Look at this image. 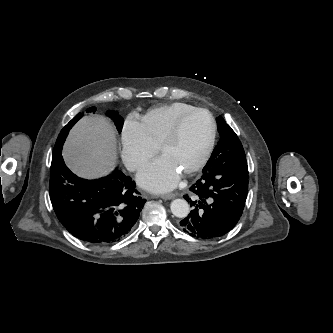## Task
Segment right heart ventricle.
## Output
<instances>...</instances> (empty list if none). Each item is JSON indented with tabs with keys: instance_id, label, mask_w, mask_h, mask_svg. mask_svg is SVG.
I'll list each match as a JSON object with an SVG mask.
<instances>
[{
	"instance_id": "obj_1",
	"label": "right heart ventricle",
	"mask_w": 333,
	"mask_h": 333,
	"mask_svg": "<svg viewBox=\"0 0 333 333\" xmlns=\"http://www.w3.org/2000/svg\"><path fill=\"white\" fill-rule=\"evenodd\" d=\"M193 108H195L193 105L184 102L158 106L148 110L141 117V123L152 142L159 146L176 119Z\"/></svg>"
}]
</instances>
